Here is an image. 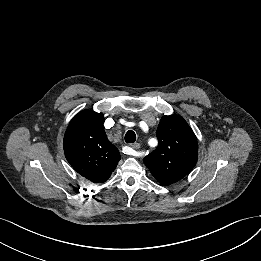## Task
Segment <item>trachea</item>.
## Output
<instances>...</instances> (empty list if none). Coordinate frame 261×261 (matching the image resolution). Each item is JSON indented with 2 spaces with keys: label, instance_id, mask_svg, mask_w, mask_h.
<instances>
[{
  "label": "trachea",
  "instance_id": "1",
  "mask_svg": "<svg viewBox=\"0 0 261 261\" xmlns=\"http://www.w3.org/2000/svg\"><path fill=\"white\" fill-rule=\"evenodd\" d=\"M136 140V134L134 131L129 130L127 131V133L125 134V142L126 143H134Z\"/></svg>",
  "mask_w": 261,
  "mask_h": 261
}]
</instances>
